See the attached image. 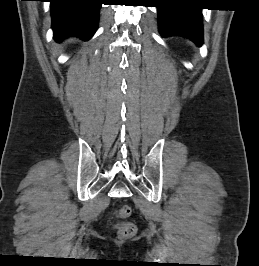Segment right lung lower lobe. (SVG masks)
Listing matches in <instances>:
<instances>
[{
    "instance_id": "obj_1",
    "label": "right lung lower lobe",
    "mask_w": 259,
    "mask_h": 266,
    "mask_svg": "<svg viewBox=\"0 0 259 266\" xmlns=\"http://www.w3.org/2000/svg\"><path fill=\"white\" fill-rule=\"evenodd\" d=\"M54 37L88 40L95 33L102 0H50Z\"/></svg>"
}]
</instances>
